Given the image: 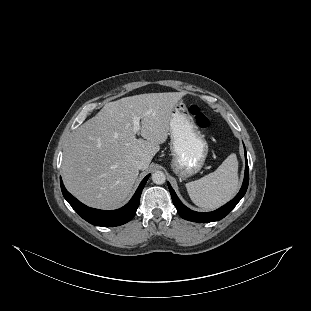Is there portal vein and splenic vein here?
Segmentation results:
<instances>
[{"mask_svg":"<svg viewBox=\"0 0 311 311\" xmlns=\"http://www.w3.org/2000/svg\"><path fill=\"white\" fill-rule=\"evenodd\" d=\"M133 125H134V129L137 131L142 130V127L140 126V118L137 116H134L133 118Z\"/></svg>","mask_w":311,"mask_h":311,"instance_id":"obj_1","label":"portal vein and splenic vein"}]
</instances>
